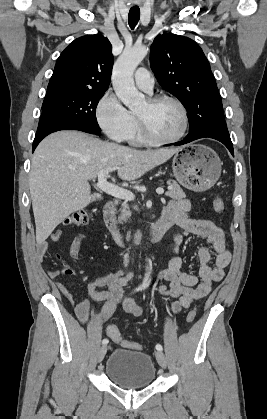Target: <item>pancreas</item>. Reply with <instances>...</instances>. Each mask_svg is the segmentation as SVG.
I'll use <instances>...</instances> for the list:
<instances>
[{
  "mask_svg": "<svg viewBox=\"0 0 267 419\" xmlns=\"http://www.w3.org/2000/svg\"><path fill=\"white\" fill-rule=\"evenodd\" d=\"M167 184L170 186L169 191L166 193V195L172 199L175 200H182L186 197L183 190L180 188L178 183L174 180H169ZM131 212L129 210V206L127 204H123L120 209V216L118 218V221H126L128 217H130Z\"/></svg>",
  "mask_w": 267,
  "mask_h": 419,
  "instance_id": "pancreas-1",
  "label": "pancreas"
}]
</instances>
